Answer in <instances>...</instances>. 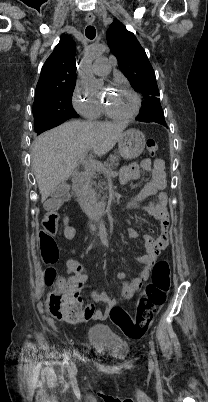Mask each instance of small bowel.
<instances>
[{"mask_svg": "<svg viewBox=\"0 0 208 402\" xmlns=\"http://www.w3.org/2000/svg\"><path fill=\"white\" fill-rule=\"evenodd\" d=\"M145 175H150V180L143 188L131 197L128 209H141L160 221V233L156 238L146 237V253L139 258V262L143 265L139 276L128 281L121 277L122 299L126 300L139 289L141 284L147 280L151 266L157 254L167 247L169 242V215H168V196L164 191L166 188V165L163 159L155 160L143 159L140 162H134L121 168L119 173V181L121 185H126L131 181L141 180ZM158 194L156 202L148 201L150 197ZM131 238L137 237V232L133 229L128 230ZM65 236L71 242H81V237H75V231L71 227H66ZM87 240V239H84ZM49 270V269H48ZM46 273H55L53 269ZM68 277L62 280H72V295L68 298L77 300L79 292L84 286L86 273L81 264L74 259L67 262ZM93 299L97 303H103L106 307H112L116 304V300L108 297L104 293H94ZM107 317V310L95 311L92 318L95 323L104 324ZM61 328L63 330H80L82 324L78 315H64L62 318Z\"/></svg>", "mask_w": 208, "mask_h": 402, "instance_id": "1", "label": "small bowel"}]
</instances>
